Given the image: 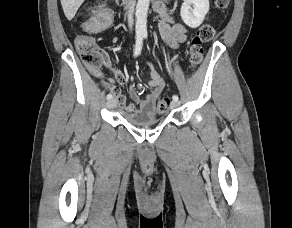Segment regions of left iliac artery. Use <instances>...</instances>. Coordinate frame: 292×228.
<instances>
[{
  "instance_id": "obj_1",
  "label": "left iliac artery",
  "mask_w": 292,
  "mask_h": 228,
  "mask_svg": "<svg viewBox=\"0 0 292 228\" xmlns=\"http://www.w3.org/2000/svg\"><path fill=\"white\" fill-rule=\"evenodd\" d=\"M144 37L147 38V34H145ZM172 99H173L174 101H178V100H179V97H178V95H173V96H172Z\"/></svg>"
}]
</instances>
